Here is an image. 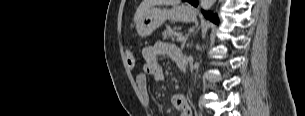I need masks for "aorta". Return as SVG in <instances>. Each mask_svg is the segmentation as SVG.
Segmentation results:
<instances>
[{"instance_id": "1", "label": "aorta", "mask_w": 305, "mask_h": 116, "mask_svg": "<svg viewBox=\"0 0 305 116\" xmlns=\"http://www.w3.org/2000/svg\"><path fill=\"white\" fill-rule=\"evenodd\" d=\"M215 3V0H201V7L204 9V10H209L213 4Z\"/></svg>"}]
</instances>
